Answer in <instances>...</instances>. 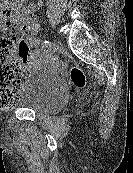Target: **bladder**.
<instances>
[{
  "instance_id": "bladder-1",
  "label": "bladder",
  "mask_w": 133,
  "mask_h": 173,
  "mask_svg": "<svg viewBox=\"0 0 133 173\" xmlns=\"http://www.w3.org/2000/svg\"><path fill=\"white\" fill-rule=\"evenodd\" d=\"M67 98L68 86L64 78L53 69L42 67L27 75L16 106L37 114L53 115L62 109Z\"/></svg>"
}]
</instances>
